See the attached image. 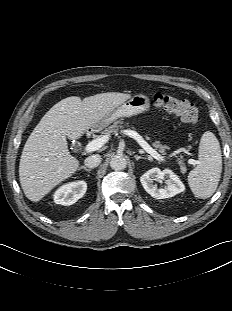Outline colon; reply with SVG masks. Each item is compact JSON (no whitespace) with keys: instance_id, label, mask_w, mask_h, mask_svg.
Instances as JSON below:
<instances>
[{"instance_id":"1","label":"colon","mask_w":232,"mask_h":311,"mask_svg":"<svg viewBox=\"0 0 232 311\" xmlns=\"http://www.w3.org/2000/svg\"><path fill=\"white\" fill-rule=\"evenodd\" d=\"M153 102L158 108L178 115L185 123L196 124L200 119L197 106L188 100L157 93L153 97Z\"/></svg>"}]
</instances>
